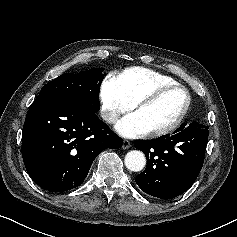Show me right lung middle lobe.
I'll return each mask as SVG.
<instances>
[{"label":"right lung middle lobe","mask_w":237,"mask_h":237,"mask_svg":"<svg viewBox=\"0 0 237 237\" xmlns=\"http://www.w3.org/2000/svg\"><path fill=\"white\" fill-rule=\"evenodd\" d=\"M102 72V69L94 68L77 74L60 75L47 83L38 97L65 99L86 111L97 113L100 109L99 91L103 80Z\"/></svg>","instance_id":"dd1d6c3e"}]
</instances>
